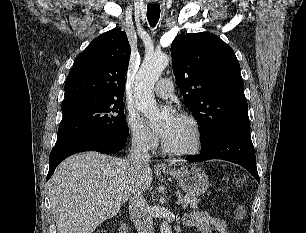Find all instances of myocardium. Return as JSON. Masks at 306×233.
Instances as JSON below:
<instances>
[{"label": "myocardium", "mask_w": 306, "mask_h": 233, "mask_svg": "<svg viewBox=\"0 0 306 233\" xmlns=\"http://www.w3.org/2000/svg\"><path fill=\"white\" fill-rule=\"evenodd\" d=\"M178 118L186 120L192 126L195 134V142L193 147L187 150H174L168 147L165 141L163 140L162 149L165 153L172 156L186 157V156L195 155L201 150L203 144V133L200 123L194 116L188 113H181L179 114Z\"/></svg>", "instance_id": "1"}]
</instances>
